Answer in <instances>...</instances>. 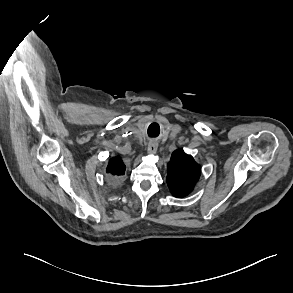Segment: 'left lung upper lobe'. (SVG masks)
Segmentation results:
<instances>
[{
  "mask_svg": "<svg viewBox=\"0 0 293 293\" xmlns=\"http://www.w3.org/2000/svg\"><path fill=\"white\" fill-rule=\"evenodd\" d=\"M166 178L168 187L175 197H185L197 183L201 170L194 158L183 150H176L169 163Z\"/></svg>",
  "mask_w": 293,
  "mask_h": 293,
  "instance_id": "obj_1",
  "label": "left lung upper lobe"
}]
</instances>
